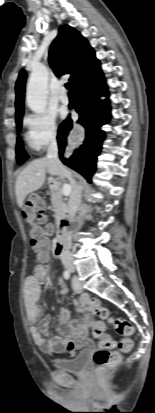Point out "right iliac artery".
<instances>
[{
  "label": "right iliac artery",
  "instance_id": "82829eb1",
  "mask_svg": "<svg viewBox=\"0 0 155 413\" xmlns=\"http://www.w3.org/2000/svg\"><path fill=\"white\" fill-rule=\"evenodd\" d=\"M63 276H64L65 279H69L70 278L69 271H64Z\"/></svg>",
  "mask_w": 155,
  "mask_h": 413
}]
</instances>
